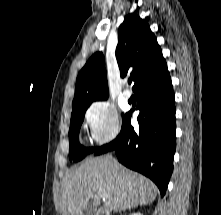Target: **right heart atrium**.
I'll return each instance as SVG.
<instances>
[{"instance_id": "1", "label": "right heart atrium", "mask_w": 221, "mask_h": 215, "mask_svg": "<svg viewBox=\"0 0 221 215\" xmlns=\"http://www.w3.org/2000/svg\"><path fill=\"white\" fill-rule=\"evenodd\" d=\"M84 120L91 138L98 144L111 141L120 130L117 110L106 100L92 103L85 112Z\"/></svg>"}]
</instances>
